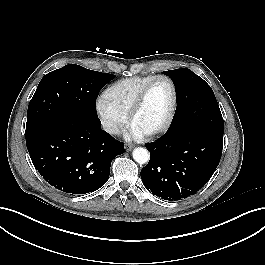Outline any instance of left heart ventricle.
I'll return each mask as SVG.
<instances>
[{"label": "left heart ventricle", "instance_id": "obj_1", "mask_svg": "<svg viewBox=\"0 0 265 265\" xmlns=\"http://www.w3.org/2000/svg\"><path fill=\"white\" fill-rule=\"evenodd\" d=\"M172 103V90L166 80L156 81L150 88L144 105L135 116L132 126L143 134L160 126L166 119Z\"/></svg>", "mask_w": 265, "mask_h": 265}]
</instances>
